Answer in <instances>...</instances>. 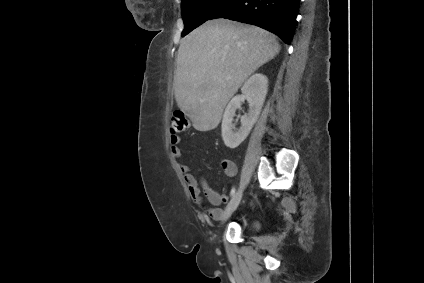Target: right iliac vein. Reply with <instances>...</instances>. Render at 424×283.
I'll return each mask as SVG.
<instances>
[{
    "label": "right iliac vein",
    "mask_w": 424,
    "mask_h": 283,
    "mask_svg": "<svg viewBox=\"0 0 424 283\" xmlns=\"http://www.w3.org/2000/svg\"><path fill=\"white\" fill-rule=\"evenodd\" d=\"M242 195H243V189L240 188L234 194L231 201L229 202V204H228V206H227V208H226V210L223 214V217H222L223 221H226L231 216V214L237 209V207H238V205L241 201Z\"/></svg>",
    "instance_id": "63e3f726"
}]
</instances>
